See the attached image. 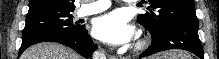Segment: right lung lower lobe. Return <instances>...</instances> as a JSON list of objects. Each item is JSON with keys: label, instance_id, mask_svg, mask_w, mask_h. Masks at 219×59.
I'll use <instances>...</instances> for the list:
<instances>
[{"label": "right lung lower lobe", "instance_id": "obj_1", "mask_svg": "<svg viewBox=\"0 0 219 59\" xmlns=\"http://www.w3.org/2000/svg\"><path fill=\"white\" fill-rule=\"evenodd\" d=\"M46 41L57 42L66 45L87 58L91 57L92 52L97 49V46L93 43L91 37L87 34V30L84 27L82 31L76 34L68 32H52L22 40L19 55H21V53L29 46Z\"/></svg>", "mask_w": 219, "mask_h": 59}]
</instances>
